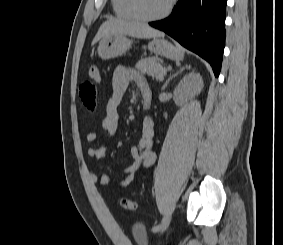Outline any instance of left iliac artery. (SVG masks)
<instances>
[{"label": "left iliac artery", "mask_w": 283, "mask_h": 245, "mask_svg": "<svg viewBox=\"0 0 283 245\" xmlns=\"http://www.w3.org/2000/svg\"><path fill=\"white\" fill-rule=\"evenodd\" d=\"M164 220H165V218H163V220H162L159 224L155 225V226L152 228V231H153V232H158V231L162 228V226H163V224H164Z\"/></svg>", "instance_id": "44dca946"}]
</instances>
